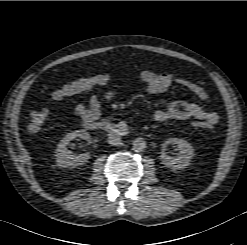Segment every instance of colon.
Masks as SVG:
<instances>
[{"label":"colon","mask_w":247,"mask_h":245,"mask_svg":"<svg viewBox=\"0 0 247 245\" xmlns=\"http://www.w3.org/2000/svg\"><path fill=\"white\" fill-rule=\"evenodd\" d=\"M111 83L112 76L109 73L97 72L58 87L53 91L52 97L56 100H62L90 92L95 89L105 88ZM29 116V130L32 132L39 131L45 125L48 118L47 111L44 109L33 110L30 112ZM192 125L203 130H212L214 128L213 124L206 121H194Z\"/></svg>","instance_id":"obj_1"}]
</instances>
